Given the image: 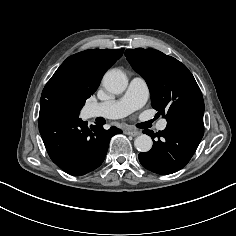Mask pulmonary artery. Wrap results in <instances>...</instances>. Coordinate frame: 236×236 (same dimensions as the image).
Segmentation results:
<instances>
[{"label":"pulmonary artery","instance_id":"obj_1","mask_svg":"<svg viewBox=\"0 0 236 236\" xmlns=\"http://www.w3.org/2000/svg\"><path fill=\"white\" fill-rule=\"evenodd\" d=\"M149 91L144 78L135 76L131 79L124 95L116 100L93 103L87 106L88 117L104 116L108 118H123L141 108L147 101ZM167 121L162 119L158 124L159 130H164Z\"/></svg>","mask_w":236,"mask_h":236}]
</instances>
